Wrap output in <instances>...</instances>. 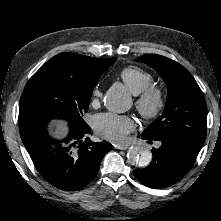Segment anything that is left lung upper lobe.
I'll return each instance as SVG.
<instances>
[{
    "mask_svg": "<svg viewBox=\"0 0 221 221\" xmlns=\"http://www.w3.org/2000/svg\"><path fill=\"white\" fill-rule=\"evenodd\" d=\"M136 61L153 67L168 88L162 116L142 135L152 140H178L200 150L206 138V102L195 79L186 68L167 57L146 54Z\"/></svg>",
    "mask_w": 221,
    "mask_h": 221,
    "instance_id": "left-lung-upper-lobe-1",
    "label": "left lung upper lobe"
}]
</instances>
